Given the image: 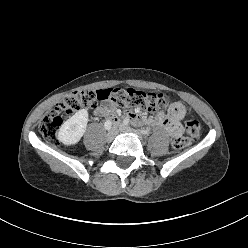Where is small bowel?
Segmentation results:
<instances>
[{
  "label": "small bowel",
  "mask_w": 248,
  "mask_h": 248,
  "mask_svg": "<svg viewBox=\"0 0 248 248\" xmlns=\"http://www.w3.org/2000/svg\"><path fill=\"white\" fill-rule=\"evenodd\" d=\"M115 106L112 101L103 99L98 102L94 113L97 116L108 118L113 115ZM186 109L180 102H175L170 105L167 111L160 114H156L154 117L145 118L136 114H129V118L133 121H140L144 124L162 126L167 134L173 138L180 137L183 134V126L181 124L182 119L185 117ZM114 123L118 122L115 116L111 117Z\"/></svg>",
  "instance_id": "obj_1"
}]
</instances>
